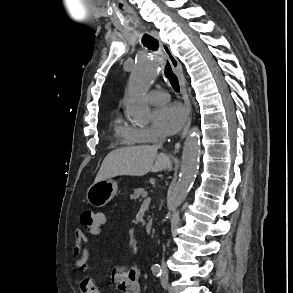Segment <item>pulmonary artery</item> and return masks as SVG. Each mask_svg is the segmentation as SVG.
Returning a JSON list of instances; mask_svg holds the SVG:
<instances>
[{
    "instance_id": "obj_1",
    "label": "pulmonary artery",
    "mask_w": 293,
    "mask_h": 293,
    "mask_svg": "<svg viewBox=\"0 0 293 293\" xmlns=\"http://www.w3.org/2000/svg\"><path fill=\"white\" fill-rule=\"evenodd\" d=\"M169 98V94L162 90H153L147 94V99L153 104H164Z\"/></svg>"
}]
</instances>
